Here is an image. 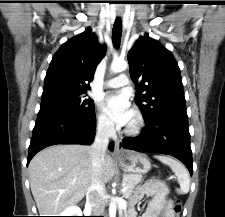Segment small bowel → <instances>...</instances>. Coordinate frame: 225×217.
Returning a JSON list of instances; mask_svg holds the SVG:
<instances>
[{
  "mask_svg": "<svg viewBox=\"0 0 225 217\" xmlns=\"http://www.w3.org/2000/svg\"><path fill=\"white\" fill-rule=\"evenodd\" d=\"M167 187L164 182L151 178L143 185L138 187L130 198L131 209L128 217H136L133 207L138 204L145 196H151L152 201L149 204L148 211L150 214L162 210L163 217H175L172 208L165 200Z\"/></svg>",
  "mask_w": 225,
  "mask_h": 217,
  "instance_id": "obj_1",
  "label": "small bowel"
}]
</instances>
